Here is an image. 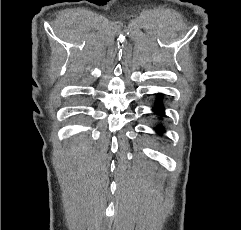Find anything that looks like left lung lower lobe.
<instances>
[{"instance_id":"0a47b994","label":"left lung lower lobe","mask_w":241,"mask_h":230,"mask_svg":"<svg viewBox=\"0 0 241 230\" xmlns=\"http://www.w3.org/2000/svg\"><path fill=\"white\" fill-rule=\"evenodd\" d=\"M161 99H162V97H161V95H159V97H158V105L155 108V110H156L158 115H163V112H164L163 106L161 104ZM157 130L158 131H162V127L158 126Z\"/></svg>"}]
</instances>
